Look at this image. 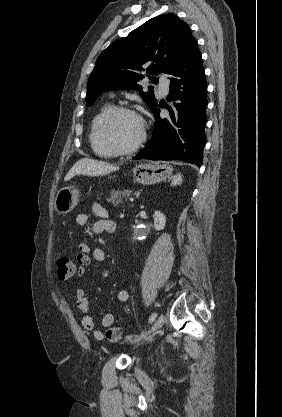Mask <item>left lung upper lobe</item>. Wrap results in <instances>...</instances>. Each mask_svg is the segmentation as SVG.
<instances>
[{"label": "left lung upper lobe", "instance_id": "5c2ea615", "mask_svg": "<svg viewBox=\"0 0 282 417\" xmlns=\"http://www.w3.org/2000/svg\"><path fill=\"white\" fill-rule=\"evenodd\" d=\"M195 38L186 22L173 14L154 17L133 30L127 37L116 40L98 57L87 85V106L94 104L103 91L140 90L146 71L152 83L155 75L171 69L183 49ZM150 89V87H149ZM150 109L157 105L153 91L140 92Z\"/></svg>", "mask_w": 282, "mask_h": 417}]
</instances>
